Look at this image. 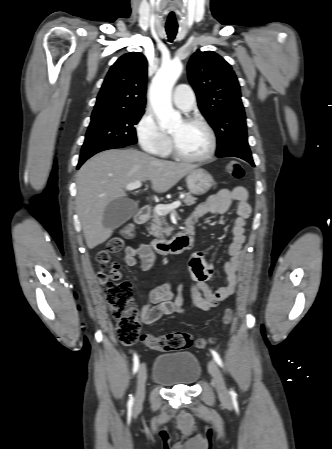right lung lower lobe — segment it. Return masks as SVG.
Segmentation results:
<instances>
[{"instance_id": "obj_1", "label": "right lung lower lobe", "mask_w": 332, "mask_h": 449, "mask_svg": "<svg viewBox=\"0 0 332 449\" xmlns=\"http://www.w3.org/2000/svg\"><path fill=\"white\" fill-rule=\"evenodd\" d=\"M126 147L125 145H117V144H110V145H104V146H100L97 148H94L92 150L89 151H85L83 153H81L80 155V159H79V163L77 168H79L88 158H90L91 156H93L94 154L107 150V149H113V148H123Z\"/></svg>"}]
</instances>
